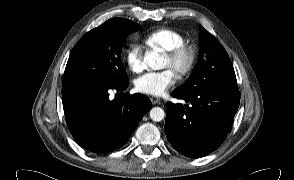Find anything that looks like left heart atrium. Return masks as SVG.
Returning <instances> with one entry per match:
<instances>
[{"label":"left heart atrium","mask_w":294,"mask_h":180,"mask_svg":"<svg viewBox=\"0 0 294 180\" xmlns=\"http://www.w3.org/2000/svg\"><path fill=\"white\" fill-rule=\"evenodd\" d=\"M177 76L172 69L145 73L135 80V88L142 94L161 96L172 87Z\"/></svg>","instance_id":"39dd6f15"}]
</instances>
